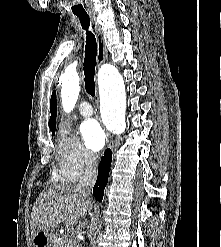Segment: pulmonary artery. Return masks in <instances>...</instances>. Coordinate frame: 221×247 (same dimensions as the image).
Masks as SVG:
<instances>
[{"label": "pulmonary artery", "instance_id": "pulmonary-artery-1", "mask_svg": "<svg viewBox=\"0 0 221 247\" xmlns=\"http://www.w3.org/2000/svg\"><path fill=\"white\" fill-rule=\"evenodd\" d=\"M80 114L84 117H89L93 114V109L88 101H83L79 108Z\"/></svg>", "mask_w": 221, "mask_h": 247}]
</instances>
